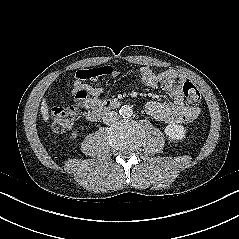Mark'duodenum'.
Masks as SVG:
<instances>
[{"label":"duodenum","mask_w":239,"mask_h":239,"mask_svg":"<svg viewBox=\"0 0 239 239\" xmlns=\"http://www.w3.org/2000/svg\"><path fill=\"white\" fill-rule=\"evenodd\" d=\"M117 106L118 102L116 101H103L99 106L93 108L87 113V119L91 122H97L105 114H107L110 110L116 108Z\"/></svg>","instance_id":"duodenum-1"}]
</instances>
